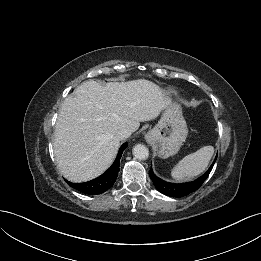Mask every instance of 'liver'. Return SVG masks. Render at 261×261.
<instances>
[{
	"mask_svg": "<svg viewBox=\"0 0 261 261\" xmlns=\"http://www.w3.org/2000/svg\"><path fill=\"white\" fill-rule=\"evenodd\" d=\"M171 104L148 80L106 86L83 82L64 100L58 114L53 146L61 173L73 182L97 177L112 164L121 129L134 132L140 122L156 119Z\"/></svg>",
	"mask_w": 261,
	"mask_h": 261,
	"instance_id": "1",
	"label": "liver"
}]
</instances>
